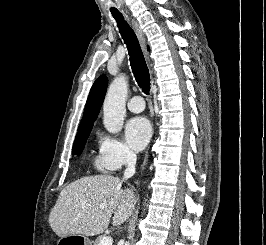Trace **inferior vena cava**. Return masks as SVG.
<instances>
[{"instance_id":"inferior-vena-cava-1","label":"inferior vena cava","mask_w":266,"mask_h":245,"mask_svg":"<svg viewBox=\"0 0 266 245\" xmlns=\"http://www.w3.org/2000/svg\"><path fill=\"white\" fill-rule=\"evenodd\" d=\"M136 161L137 159L135 153H133V151H128L126 155L127 169L124 171L123 179H130V177L135 175Z\"/></svg>"}]
</instances>
